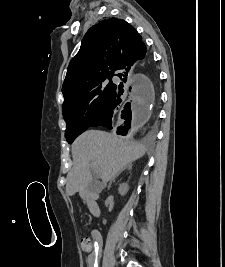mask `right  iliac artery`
<instances>
[{
  "label": "right iliac artery",
  "mask_w": 225,
  "mask_h": 267,
  "mask_svg": "<svg viewBox=\"0 0 225 267\" xmlns=\"http://www.w3.org/2000/svg\"><path fill=\"white\" fill-rule=\"evenodd\" d=\"M94 267H97V263H95Z\"/></svg>",
  "instance_id": "1"
}]
</instances>
